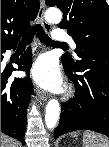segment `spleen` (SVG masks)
Segmentation results:
<instances>
[{"label":"spleen","mask_w":109,"mask_h":147,"mask_svg":"<svg viewBox=\"0 0 109 147\" xmlns=\"http://www.w3.org/2000/svg\"><path fill=\"white\" fill-rule=\"evenodd\" d=\"M83 147H109V139L106 136L92 131L83 133Z\"/></svg>","instance_id":"3e777b00"}]
</instances>
